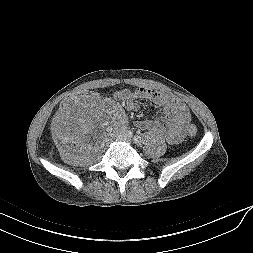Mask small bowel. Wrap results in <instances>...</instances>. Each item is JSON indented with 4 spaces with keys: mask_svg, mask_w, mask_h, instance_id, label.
Returning a JSON list of instances; mask_svg holds the SVG:
<instances>
[{
    "mask_svg": "<svg viewBox=\"0 0 253 253\" xmlns=\"http://www.w3.org/2000/svg\"><path fill=\"white\" fill-rule=\"evenodd\" d=\"M117 101L126 105L129 110H136L138 104L136 99H146L153 102L160 108L165 124L160 118L139 121L136 125L147 131L162 135L170 144H176L183 140L185 127L190 122V112L188 107L179 99L172 95L160 93L149 88H138L136 90L122 89L114 93ZM65 129V122H62L61 131Z\"/></svg>",
    "mask_w": 253,
    "mask_h": 253,
    "instance_id": "c3829d8e",
    "label": "small bowel"
}]
</instances>
